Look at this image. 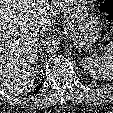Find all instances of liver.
Wrapping results in <instances>:
<instances>
[{"label":"liver","mask_w":113,"mask_h":113,"mask_svg":"<svg viewBox=\"0 0 113 113\" xmlns=\"http://www.w3.org/2000/svg\"><path fill=\"white\" fill-rule=\"evenodd\" d=\"M63 0H0V88L30 92L38 67V36L61 11Z\"/></svg>","instance_id":"obj_1"}]
</instances>
